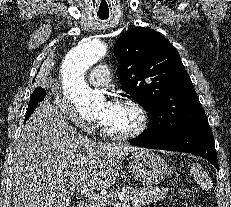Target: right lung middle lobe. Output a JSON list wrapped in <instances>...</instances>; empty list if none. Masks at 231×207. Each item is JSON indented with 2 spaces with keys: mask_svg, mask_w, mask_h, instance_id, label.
<instances>
[{
  "mask_svg": "<svg viewBox=\"0 0 231 207\" xmlns=\"http://www.w3.org/2000/svg\"><path fill=\"white\" fill-rule=\"evenodd\" d=\"M43 94H44V90L42 88H37L30 96V100H34L39 96H43Z\"/></svg>",
  "mask_w": 231,
  "mask_h": 207,
  "instance_id": "obj_1",
  "label": "right lung middle lobe"
}]
</instances>
